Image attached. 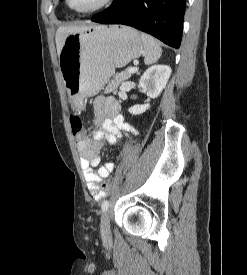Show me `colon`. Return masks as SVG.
Listing matches in <instances>:
<instances>
[{
  "mask_svg": "<svg viewBox=\"0 0 247 275\" xmlns=\"http://www.w3.org/2000/svg\"><path fill=\"white\" fill-rule=\"evenodd\" d=\"M70 124H71V129H72L74 138L79 142L82 141L86 131L81 118L78 115H72L70 119ZM111 188H112L111 180H107L103 182L102 190L105 193H108L111 190Z\"/></svg>",
  "mask_w": 247,
  "mask_h": 275,
  "instance_id": "colon-1",
  "label": "colon"
}]
</instances>
